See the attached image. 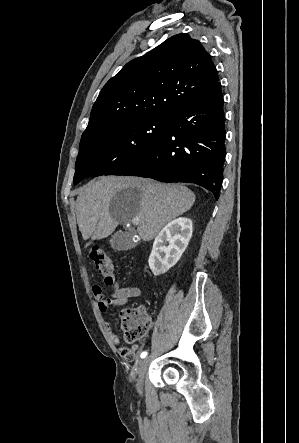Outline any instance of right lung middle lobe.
Listing matches in <instances>:
<instances>
[{
  "instance_id": "1",
  "label": "right lung middle lobe",
  "mask_w": 299,
  "mask_h": 443,
  "mask_svg": "<svg viewBox=\"0 0 299 443\" xmlns=\"http://www.w3.org/2000/svg\"><path fill=\"white\" fill-rule=\"evenodd\" d=\"M169 131L167 116L138 118L92 133L80 141L73 184L114 175L148 154Z\"/></svg>"
}]
</instances>
